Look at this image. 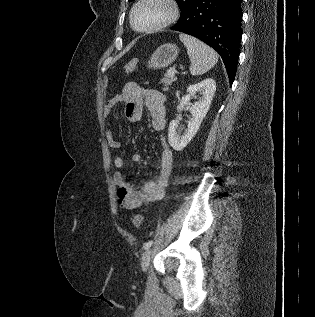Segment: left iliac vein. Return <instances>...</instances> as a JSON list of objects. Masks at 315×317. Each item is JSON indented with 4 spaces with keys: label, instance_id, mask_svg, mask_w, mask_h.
Segmentation results:
<instances>
[{
    "label": "left iliac vein",
    "instance_id": "left-iliac-vein-1",
    "mask_svg": "<svg viewBox=\"0 0 315 317\" xmlns=\"http://www.w3.org/2000/svg\"><path fill=\"white\" fill-rule=\"evenodd\" d=\"M152 255H153V249H147L144 255L142 256L141 268L143 272L147 271Z\"/></svg>",
    "mask_w": 315,
    "mask_h": 317
}]
</instances>
